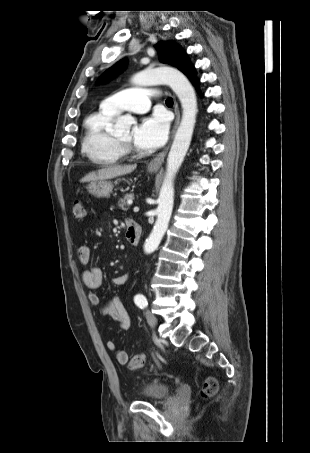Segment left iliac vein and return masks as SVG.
<instances>
[{
    "mask_svg": "<svg viewBox=\"0 0 310 453\" xmlns=\"http://www.w3.org/2000/svg\"><path fill=\"white\" fill-rule=\"evenodd\" d=\"M146 319H147L148 324L151 327H154L157 324V319H156L155 315L150 310L146 311Z\"/></svg>",
    "mask_w": 310,
    "mask_h": 453,
    "instance_id": "obj_1",
    "label": "left iliac vein"
}]
</instances>
